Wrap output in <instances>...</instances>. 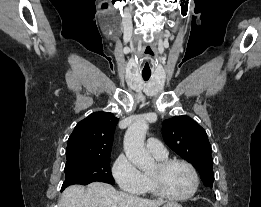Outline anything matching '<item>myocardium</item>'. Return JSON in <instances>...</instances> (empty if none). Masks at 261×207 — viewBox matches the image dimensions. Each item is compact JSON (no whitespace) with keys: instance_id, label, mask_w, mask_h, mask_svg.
I'll list each match as a JSON object with an SVG mask.
<instances>
[{"instance_id":"1","label":"myocardium","mask_w":261,"mask_h":207,"mask_svg":"<svg viewBox=\"0 0 261 207\" xmlns=\"http://www.w3.org/2000/svg\"><path fill=\"white\" fill-rule=\"evenodd\" d=\"M173 164H182L184 165L190 172L191 176H192V188L191 190L185 194V195H181V196H176V195H172L169 194L161 185L160 180L158 175H152L149 174V180L150 183L152 185V188L154 190V192L167 200H171V201H186L190 198H192L198 191L199 188V177L198 174L196 172V169L194 168V166L184 160V159H179V158H166L163 160H160L157 162V168H158V172H162L164 171L166 168H168L169 166L173 165Z\"/></svg>"}]
</instances>
